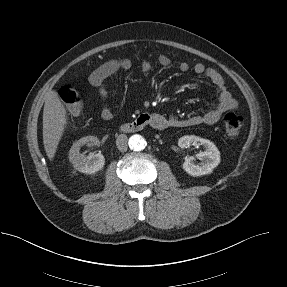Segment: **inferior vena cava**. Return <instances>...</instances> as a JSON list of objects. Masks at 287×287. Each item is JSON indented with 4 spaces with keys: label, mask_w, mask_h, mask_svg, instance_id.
<instances>
[{
    "label": "inferior vena cava",
    "mask_w": 287,
    "mask_h": 287,
    "mask_svg": "<svg viewBox=\"0 0 287 287\" xmlns=\"http://www.w3.org/2000/svg\"><path fill=\"white\" fill-rule=\"evenodd\" d=\"M127 141L128 138L125 134H120L117 139H116V145L117 148L121 151V152H125L127 151L128 145H127Z\"/></svg>",
    "instance_id": "inferior-vena-cava-1"
}]
</instances>
